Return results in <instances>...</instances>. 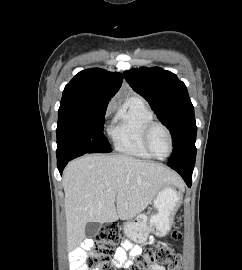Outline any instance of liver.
Returning <instances> with one entry per match:
<instances>
[{
    "label": "liver",
    "instance_id": "liver-1",
    "mask_svg": "<svg viewBox=\"0 0 242 270\" xmlns=\"http://www.w3.org/2000/svg\"><path fill=\"white\" fill-rule=\"evenodd\" d=\"M62 184L68 247L81 243L88 222L132 219L163 187L183 186L180 177L161 164L104 154H88L71 161Z\"/></svg>",
    "mask_w": 242,
    "mask_h": 270
}]
</instances>
